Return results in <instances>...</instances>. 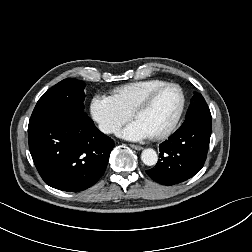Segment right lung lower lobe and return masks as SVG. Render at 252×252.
Here are the masks:
<instances>
[{
	"mask_svg": "<svg viewBox=\"0 0 252 252\" xmlns=\"http://www.w3.org/2000/svg\"><path fill=\"white\" fill-rule=\"evenodd\" d=\"M29 149L46 184L78 192L104 174L113 140L84 114L62 113L28 126Z\"/></svg>",
	"mask_w": 252,
	"mask_h": 252,
	"instance_id": "right-lung-lower-lobe-1",
	"label": "right lung lower lobe"
}]
</instances>
